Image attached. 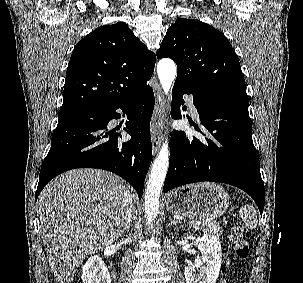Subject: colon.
Wrapping results in <instances>:
<instances>
[{"instance_id": "5ec220e1", "label": "colon", "mask_w": 303, "mask_h": 283, "mask_svg": "<svg viewBox=\"0 0 303 283\" xmlns=\"http://www.w3.org/2000/svg\"><path fill=\"white\" fill-rule=\"evenodd\" d=\"M230 241L238 258L245 259L248 257L250 241L241 225L236 224L233 227Z\"/></svg>"}]
</instances>
